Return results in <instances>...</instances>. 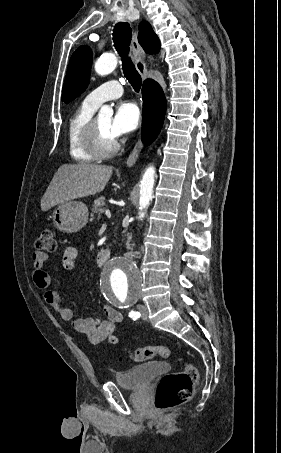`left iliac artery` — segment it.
<instances>
[{
	"label": "left iliac artery",
	"mask_w": 281,
	"mask_h": 453,
	"mask_svg": "<svg viewBox=\"0 0 281 453\" xmlns=\"http://www.w3.org/2000/svg\"><path fill=\"white\" fill-rule=\"evenodd\" d=\"M129 317H131L135 321L136 319H138L140 317V313L139 312H135V311H131L129 313Z\"/></svg>",
	"instance_id": "44dca946"
}]
</instances>
